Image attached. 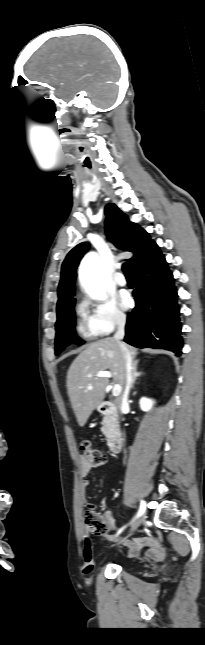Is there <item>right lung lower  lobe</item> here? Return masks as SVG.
<instances>
[{"instance_id": "obj_1", "label": "right lung lower lobe", "mask_w": 205, "mask_h": 645, "mask_svg": "<svg viewBox=\"0 0 205 645\" xmlns=\"http://www.w3.org/2000/svg\"><path fill=\"white\" fill-rule=\"evenodd\" d=\"M134 271L136 307L128 314L124 341L136 347L170 350L180 356V307L165 257L160 254Z\"/></svg>"}]
</instances>
